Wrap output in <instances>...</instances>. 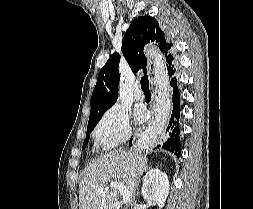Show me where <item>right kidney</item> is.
I'll list each match as a JSON object with an SVG mask.
<instances>
[{
    "mask_svg": "<svg viewBox=\"0 0 253 209\" xmlns=\"http://www.w3.org/2000/svg\"><path fill=\"white\" fill-rule=\"evenodd\" d=\"M169 193L168 176L159 169H151L144 177L142 185V196L144 199L152 200L161 209Z\"/></svg>",
    "mask_w": 253,
    "mask_h": 209,
    "instance_id": "1",
    "label": "right kidney"
}]
</instances>
